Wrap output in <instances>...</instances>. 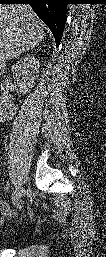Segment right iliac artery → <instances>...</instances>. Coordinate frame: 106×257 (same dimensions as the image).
I'll use <instances>...</instances> for the list:
<instances>
[{
	"label": "right iliac artery",
	"mask_w": 106,
	"mask_h": 257,
	"mask_svg": "<svg viewBox=\"0 0 106 257\" xmlns=\"http://www.w3.org/2000/svg\"><path fill=\"white\" fill-rule=\"evenodd\" d=\"M18 190H19V186L17 184H14V186H12V190H11V193H10V197H11L12 200L17 195Z\"/></svg>",
	"instance_id": "right-iliac-artery-1"
}]
</instances>
